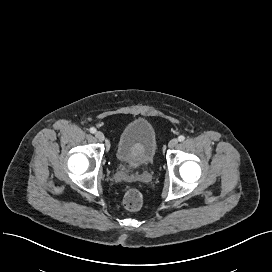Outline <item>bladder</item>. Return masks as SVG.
Masks as SVG:
<instances>
[{"instance_id":"obj_1","label":"bladder","mask_w":272,"mask_h":272,"mask_svg":"<svg viewBox=\"0 0 272 272\" xmlns=\"http://www.w3.org/2000/svg\"><path fill=\"white\" fill-rule=\"evenodd\" d=\"M156 150L157 135L153 125L146 118H137L122 130L115 153L123 164L144 167L154 160Z\"/></svg>"}]
</instances>
